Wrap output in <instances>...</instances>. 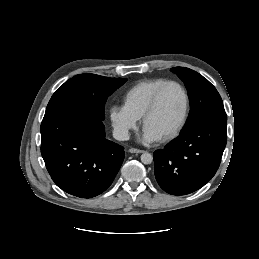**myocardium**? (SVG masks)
Returning a JSON list of instances; mask_svg holds the SVG:
<instances>
[{
    "mask_svg": "<svg viewBox=\"0 0 259 259\" xmlns=\"http://www.w3.org/2000/svg\"><path fill=\"white\" fill-rule=\"evenodd\" d=\"M171 85H175L177 87H179L184 95V100H185V104H184V110H183V114L181 116L180 121L178 122V124L175 126L174 129H172L169 133H167L166 135L162 136L161 138H159L158 140L160 141H167L170 140L172 138H174L175 136H177L181 130L183 129V127L186 124L188 115H189V110H190V95L189 92L187 90V88L179 81L176 80H168L165 83H163L154 93L152 100L149 104V106L147 107L146 111L144 112L143 116H142V125L145 128L147 120L155 113V111L157 110L159 103H160V99L161 96L163 94V92L165 91V89Z\"/></svg>",
    "mask_w": 259,
    "mask_h": 259,
    "instance_id": "1",
    "label": "myocardium"
}]
</instances>
